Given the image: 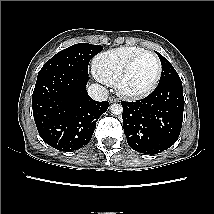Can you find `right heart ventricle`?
Masks as SVG:
<instances>
[{"label": "right heart ventricle", "mask_w": 214, "mask_h": 214, "mask_svg": "<svg viewBox=\"0 0 214 214\" xmlns=\"http://www.w3.org/2000/svg\"><path fill=\"white\" fill-rule=\"evenodd\" d=\"M143 51L142 47L125 46L99 54L94 59L97 77L107 84H115L127 63Z\"/></svg>", "instance_id": "right-heart-ventricle-1"}]
</instances>
